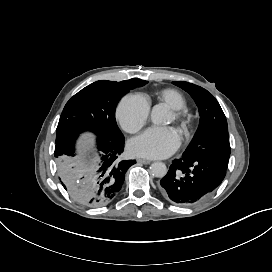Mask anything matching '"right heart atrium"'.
Instances as JSON below:
<instances>
[{
    "label": "right heart atrium",
    "mask_w": 272,
    "mask_h": 272,
    "mask_svg": "<svg viewBox=\"0 0 272 272\" xmlns=\"http://www.w3.org/2000/svg\"><path fill=\"white\" fill-rule=\"evenodd\" d=\"M149 113L150 104L144 96L128 94L119 105L117 117L125 131L135 134L146 124Z\"/></svg>",
    "instance_id": "right-heart-atrium-1"
}]
</instances>
